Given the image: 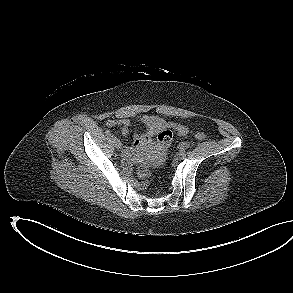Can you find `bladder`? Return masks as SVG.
Segmentation results:
<instances>
[{"mask_svg":"<svg viewBox=\"0 0 293 293\" xmlns=\"http://www.w3.org/2000/svg\"><path fill=\"white\" fill-rule=\"evenodd\" d=\"M149 164L148 161H144V165L147 166Z\"/></svg>","mask_w":293,"mask_h":293,"instance_id":"bladder-1","label":"bladder"}]
</instances>
